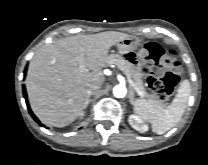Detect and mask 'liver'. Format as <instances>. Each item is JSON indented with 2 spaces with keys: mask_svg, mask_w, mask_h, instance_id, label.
I'll list each match as a JSON object with an SVG mask.
<instances>
[{
  "mask_svg": "<svg viewBox=\"0 0 208 165\" xmlns=\"http://www.w3.org/2000/svg\"><path fill=\"white\" fill-rule=\"evenodd\" d=\"M128 37L116 31L71 36L36 53L25 84L31 108L41 122L55 127L72 123L85 108L89 86L104 81L109 49Z\"/></svg>",
  "mask_w": 208,
  "mask_h": 165,
  "instance_id": "liver-1",
  "label": "liver"
}]
</instances>
